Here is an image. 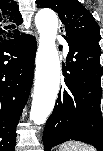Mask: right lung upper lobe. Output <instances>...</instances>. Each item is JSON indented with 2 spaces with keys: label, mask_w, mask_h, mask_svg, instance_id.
I'll use <instances>...</instances> for the list:
<instances>
[{
  "label": "right lung upper lobe",
  "mask_w": 103,
  "mask_h": 151,
  "mask_svg": "<svg viewBox=\"0 0 103 151\" xmlns=\"http://www.w3.org/2000/svg\"><path fill=\"white\" fill-rule=\"evenodd\" d=\"M22 23L18 7L11 0H0V42L20 35L16 25Z\"/></svg>",
  "instance_id": "right-lung-upper-lobe-1"
}]
</instances>
